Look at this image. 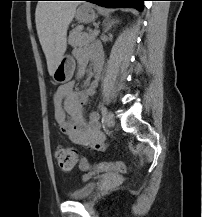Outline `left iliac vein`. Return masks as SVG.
Listing matches in <instances>:
<instances>
[{"mask_svg": "<svg viewBox=\"0 0 202 217\" xmlns=\"http://www.w3.org/2000/svg\"><path fill=\"white\" fill-rule=\"evenodd\" d=\"M104 120H105V125L107 127L114 126V123H115L114 116H113V114L111 112L106 113Z\"/></svg>", "mask_w": 202, "mask_h": 217, "instance_id": "1", "label": "left iliac vein"}]
</instances>
